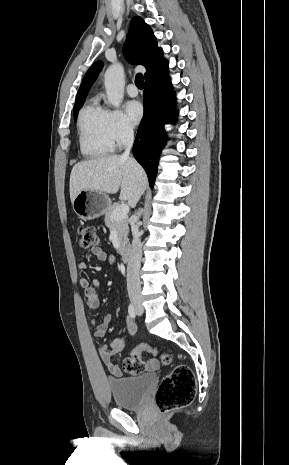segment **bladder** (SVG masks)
I'll list each match as a JSON object with an SVG mask.
<instances>
[{"label": "bladder", "mask_w": 289, "mask_h": 465, "mask_svg": "<svg viewBox=\"0 0 289 465\" xmlns=\"http://www.w3.org/2000/svg\"><path fill=\"white\" fill-rule=\"evenodd\" d=\"M155 381V374H144L138 377L111 378L108 379V385L118 408L135 410L144 404Z\"/></svg>", "instance_id": "bladder-1"}]
</instances>
